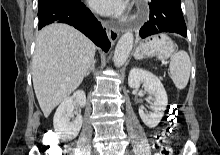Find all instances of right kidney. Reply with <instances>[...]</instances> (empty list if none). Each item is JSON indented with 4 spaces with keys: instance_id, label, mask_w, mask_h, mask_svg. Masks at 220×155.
Wrapping results in <instances>:
<instances>
[{
    "instance_id": "1",
    "label": "right kidney",
    "mask_w": 220,
    "mask_h": 155,
    "mask_svg": "<svg viewBox=\"0 0 220 155\" xmlns=\"http://www.w3.org/2000/svg\"><path fill=\"white\" fill-rule=\"evenodd\" d=\"M74 102H77L81 107L86 104V96L84 91L78 90L73 96L66 98L57 108L53 125L58 137L64 141L74 139L82 126V116L77 115L73 122H70V117L73 116Z\"/></svg>"
}]
</instances>
